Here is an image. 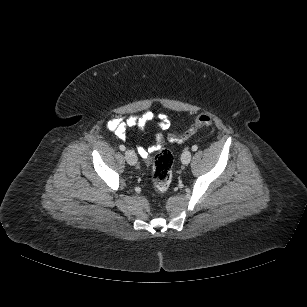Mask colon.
<instances>
[{
    "label": "colon",
    "mask_w": 307,
    "mask_h": 307,
    "mask_svg": "<svg viewBox=\"0 0 307 307\" xmlns=\"http://www.w3.org/2000/svg\"><path fill=\"white\" fill-rule=\"evenodd\" d=\"M212 124L213 120L210 115L201 114L183 134H170L169 139L173 142H183L191 137L199 128L209 127ZM173 162L174 157L171 151L165 148L158 149L154 157L152 172L153 186L158 192H165L169 188L172 182Z\"/></svg>",
    "instance_id": "colon-1"
}]
</instances>
